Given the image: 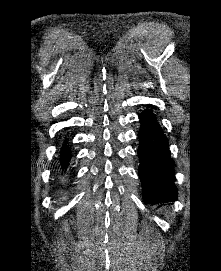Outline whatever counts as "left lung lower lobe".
<instances>
[{"mask_svg":"<svg viewBox=\"0 0 221 271\" xmlns=\"http://www.w3.org/2000/svg\"><path fill=\"white\" fill-rule=\"evenodd\" d=\"M139 118L141 122L138 132L139 175L144 200L149 204L176 200L174 162L170 157L168 140L152 110L143 111Z\"/></svg>","mask_w":221,"mask_h":271,"instance_id":"1","label":"left lung lower lobe"}]
</instances>
